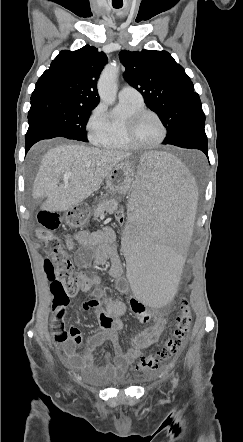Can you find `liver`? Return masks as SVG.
I'll return each mask as SVG.
<instances>
[{"label":"liver","mask_w":243,"mask_h":442,"mask_svg":"<svg viewBox=\"0 0 243 442\" xmlns=\"http://www.w3.org/2000/svg\"><path fill=\"white\" fill-rule=\"evenodd\" d=\"M128 157L130 153L123 151L79 144L53 147L41 160L33 197H47L42 206L46 211H67L93 194L111 170ZM65 173L71 177L60 184Z\"/></svg>","instance_id":"6515ba94"}]
</instances>
